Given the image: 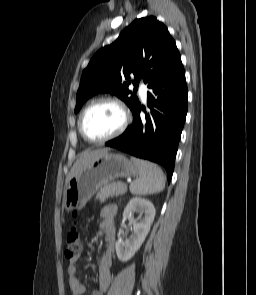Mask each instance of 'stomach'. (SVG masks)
<instances>
[{"label":"stomach","mask_w":256,"mask_h":295,"mask_svg":"<svg viewBox=\"0 0 256 295\" xmlns=\"http://www.w3.org/2000/svg\"><path fill=\"white\" fill-rule=\"evenodd\" d=\"M137 173L138 167L125 156L106 152L74 174L64 191L63 206L68 212L81 210L102 186Z\"/></svg>","instance_id":"obj_1"}]
</instances>
